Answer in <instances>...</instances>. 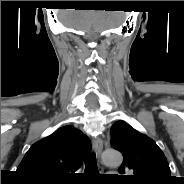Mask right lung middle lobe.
<instances>
[{
	"mask_svg": "<svg viewBox=\"0 0 184 184\" xmlns=\"http://www.w3.org/2000/svg\"><path fill=\"white\" fill-rule=\"evenodd\" d=\"M32 183H35V184H46V183H42V182H32Z\"/></svg>",
	"mask_w": 184,
	"mask_h": 184,
	"instance_id": "obj_1",
	"label": "right lung middle lobe"
}]
</instances>
